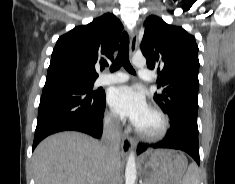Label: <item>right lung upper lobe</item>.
<instances>
[{"label": "right lung upper lobe", "instance_id": "obj_1", "mask_svg": "<svg viewBox=\"0 0 235 184\" xmlns=\"http://www.w3.org/2000/svg\"><path fill=\"white\" fill-rule=\"evenodd\" d=\"M122 24L107 13L59 37L51 57L46 83L74 77L96 80V69L107 66L118 49Z\"/></svg>", "mask_w": 235, "mask_h": 184}]
</instances>
